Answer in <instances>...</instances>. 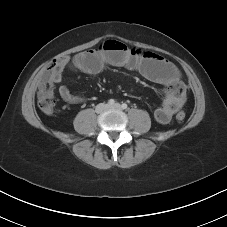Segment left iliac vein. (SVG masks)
<instances>
[{
  "label": "left iliac vein",
  "instance_id": "1",
  "mask_svg": "<svg viewBox=\"0 0 227 227\" xmlns=\"http://www.w3.org/2000/svg\"><path fill=\"white\" fill-rule=\"evenodd\" d=\"M108 108H110V109H117V110H121L122 109L121 105L118 104V103H116L114 105H109Z\"/></svg>",
  "mask_w": 227,
  "mask_h": 227
}]
</instances>
